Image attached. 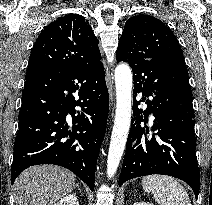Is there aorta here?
Listing matches in <instances>:
<instances>
[{
    "mask_svg": "<svg viewBox=\"0 0 212 205\" xmlns=\"http://www.w3.org/2000/svg\"><path fill=\"white\" fill-rule=\"evenodd\" d=\"M116 113L112 130L107 175L113 177L122 158L131 123L132 112V72L127 64H119L115 69Z\"/></svg>",
    "mask_w": 212,
    "mask_h": 205,
    "instance_id": "762f6f07",
    "label": "aorta"
}]
</instances>
